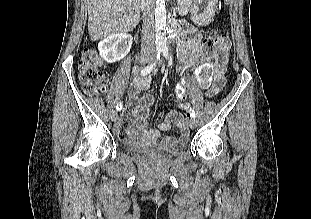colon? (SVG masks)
<instances>
[{
	"instance_id": "5ec220e1",
	"label": "colon",
	"mask_w": 311,
	"mask_h": 219,
	"mask_svg": "<svg viewBox=\"0 0 311 219\" xmlns=\"http://www.w3.org/2000/svg\"><path fill=\"white\" fill-rule=\"evenodd\" d=\"M230 46V40L225 34L209 36L202 41V53L209 61L199 73V82L202 87L207 86L215 74L223 76L224 64L228 58ZM79 64V80L84 91L88 95L103 93L106 89L107 76L97 50L92 48L84 49Z\"/></svg>"
}]
</instances>
